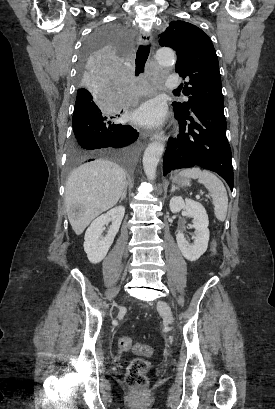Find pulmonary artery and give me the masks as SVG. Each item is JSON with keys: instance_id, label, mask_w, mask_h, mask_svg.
Listing matches in <instances>:
<instances>
[{"instance_id": "obj_1", "label": "pulmonary artery", "mask_w": 275, "mask_h": 409, "mask_svg": "<svg viewBox=\"0 0 275 409\" xmlns=\"http://www.w3.org/2000/svg\"><path fill=\"white\" fill-rule=\"evenodd\" d=\"M167 88H178L179 87V75L177 73H172L170 79L166 80Z\"/></svg>"}]
</instances>
